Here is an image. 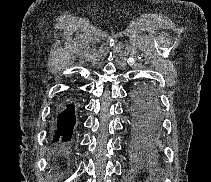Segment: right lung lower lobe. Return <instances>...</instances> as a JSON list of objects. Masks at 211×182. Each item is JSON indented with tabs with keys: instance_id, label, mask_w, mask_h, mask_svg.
I'll return each mask as SVG.
<instances>
[{
	"instance_id": "98d812e1",
	"label": "right lung lower lobe",
	"mask_w": 211,
	"mask_h": 182,
	"mask_svg": "<svg viewBox=\"0 0 211 182\" xmlns=\"http://www.w3.org/2000/svg\"><path fill=\"white\" fill-rule=\"evenodd\" d=\"M75 110L73 104H67L58 115L57 130L53 141H57L62 136V141L66 142L71 139L75 125Z\"/></svg>"
}]
</instances>
